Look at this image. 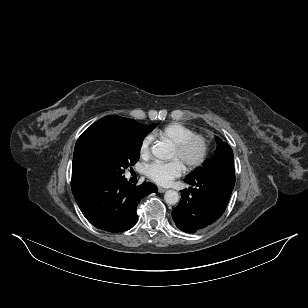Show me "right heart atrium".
Here are the masks:
<instances>
[{
	"instance_id": "1",
	"label": "right heart atrium",
	"mask_w": 308,
	"mask_h": 308,
	"mask_svg": "<svg viewBox=\"0 0 308 308\" xmlns=\"http://www.w3.org/2000/svg\"><path fill=\"white\" fill-rule=\"evenodd\" d=\"M151 137L146 136L140 143L139 155L142 159H147L150 155Z\"/></svg>"
}]
</instances>
